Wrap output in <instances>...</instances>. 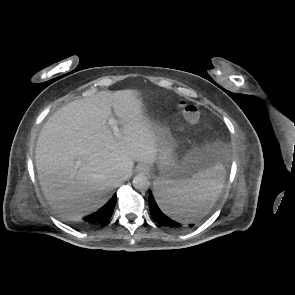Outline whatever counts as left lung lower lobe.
I'll list each match as a JSON object with an SVG mask.
<instances>
[{"label": "left lung lower lobe", "mask_w": 295, "mask_h": 295, "mask_svg": "<svg viewBox=\"0 0 295 295\" xmlns=\"http://www.w3.org/2000/svg\"><path fill=\"white\" fill-rule=\"evenodd\" d=\"M149 207L150 212L153 217V219L160 225H163L165 227L173 228V229H180L183 228L184 225H182L179 222H176L172 219H170L168 216H166L158 207L156 204L153 195L151 192H149ZM194 224H189V227H193Z\"/></svg>", "instance_id": "0a47b994"}]
</instances>
